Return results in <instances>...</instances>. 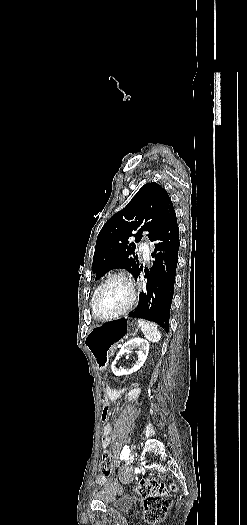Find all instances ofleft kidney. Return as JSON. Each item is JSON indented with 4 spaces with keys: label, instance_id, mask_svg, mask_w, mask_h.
Returning a JSON list of instances; mask_svg holds the SVG:
<instances>
[{
    "label": "left kidney",
    "instance_id": "1",
    "mask_svg": "<svg viewBox=\"0 0 247 525\" xmlns=\"http://www.w3.org/2000/svg\"><path fill=\"white\" fill-rule=\"evenodd\" d=\"M133 349H139V351L138 361H136L133 369H131V373H135V371H139V369L143 367L148 357L150 345L148 341H145V339H130V341H127V343H124L123 347H121L120 353L117 355L115 361H118L120 355H123V353H132ZM112 371L115 373V375H121V371H119V369H115V363L112 365ZM124 375H129V373H125L124 371Z\"/></svg>",
    "mask_w": 247,
    "mask_h": 525
}]
</instances>
